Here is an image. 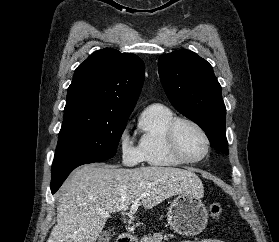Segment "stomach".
<instances>
[{
	"instance_id": "stomach-1",
	"label": "stomach",
	"mask_w": 279,
	"mask_h": 242,
	"mask_svg": "<svg viewBox=\"0 0 279 242\" xmlns=\"http://www.w3.org/2000/svg\"><path fill=\"white\" fill-rule=\"evenodd\" d=\"M167 218L174 232L184 236H195L205 229L208 213L200 197L179 194L170 204Z\"/></svg>"
}]
</instances>
